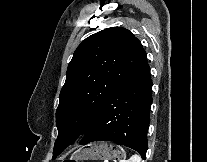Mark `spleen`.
Masks as SVG:
<instances>
[{
	"label": "spleen",
	"instance_id": "1",
	"mask_svg": "<svg viewBox=\"0 0 207 162\" xmlns=\"http://www.w3.org/2000/svg\"><path fill=\"white\" fill-rule=\"evenodd\" d=\"M121 162H141V157L135 154L132 155L129 160H122Z\"/></svg>",
	"mask_w": 207,
	"mask_h": 162
}]
</instances>
